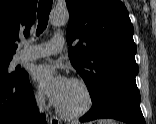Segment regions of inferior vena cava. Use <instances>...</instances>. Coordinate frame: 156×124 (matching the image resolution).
<instances>
[{"label":"inferior vena cava","mask_w":156,"mask_h":124,"mask_svg":"<svg viewBox=\"0 0 156 124\" xmlns=\"http://www.w3.org/2000/svg\"><path fill=\"white\" fill-rule=\"evenodd\" d=\"M36 102H37V106H38L39 110L43 111V109L45 107V100H44L43 95H37Z\"/></svg>","instance_id":"inferior-vena-cava-1"}]
</instances>
